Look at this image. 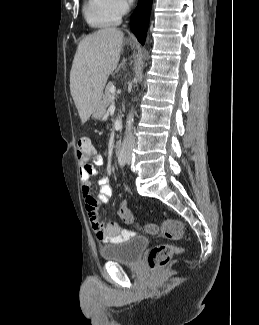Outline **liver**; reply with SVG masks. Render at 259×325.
<instances>
[{"label": "liver", "mask_w": 259, "mask_h": 325, "mask_svg": "<svg viewBox=\"0 0 259 325\" xmlns=\"http://www.w3.org/2000/svg\"><path fill=\"white\" fill-rule=\"evenodd\" d=\"M123 32L115 27L101 29L78 45L70 72V91L82 124L101 101L109 75L120 59Z\"/></svg>", "instance_id": "liver-1"}]
</instances>
